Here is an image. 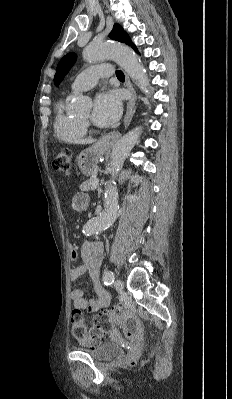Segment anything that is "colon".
I'll return each mask as SVG.
<instances>
[{
  "label": "colon",
  "mask_w": 232,
  "mask_h": 399,
  "mask_svg": "<svg viewBox=\"0 0 232 399\" xmlns=\"http://www.w3.org/2000/svg\"><path fill=\"white\" fill-rule=\"evenodd\" d=\"M52 165L72 176L73 155L70 154V150L56 155V160H52ZM82 315V311H75L71 315V337L79 338L81 347H95V341H103V336L100 335H113L114 330L111 328V324H122L125 337H134V340H128V346L124 348L125 353H139L143 321H141V317H138V313H130L129 308H116L115 313H101L100 317L94 318V322L76 325L81 324Z\"/></svg>",
  "instance_id": "colon-1"
}]
</instances>
